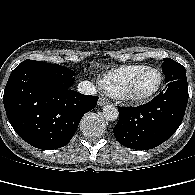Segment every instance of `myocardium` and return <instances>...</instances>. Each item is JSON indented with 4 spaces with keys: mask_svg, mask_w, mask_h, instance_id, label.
I'll return each instance as SVG.
<instances>
[{
    "mask_svg": "<svg viewBox=\"0 0 195 195\" xmlns=\"http://www.w3.org/2000/svg\"><path fill=\"white\" fill-rule=\"evenodd\" d=\"M146 71H154L158 74L159 76V81L158 84L156 85V87L145 94H135L133 91V86L136 82V80L139 78V76L141 74H143ZM163 74L162 72L155 68V67H151V66H145L142 69H140L139 71H137L127 82L125 89L122 91L121 94H119L118 98L123 99L125 101L131 102V103H143L146 102L150 99H152L154 96H156L158 94V92L161 90L162 86H163Z\"/></svg>",
    "mask_w": 195,
    "mask_h": 195,
    "instance_id": "f54148a6",
    "label": "myocardium"
}]
</instances>
